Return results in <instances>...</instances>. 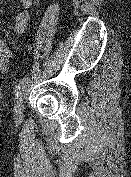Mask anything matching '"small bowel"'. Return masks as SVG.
Segmentation results:
<instances>
[{"label":"small bowel","mask_w":131,"mask_h":177,"mask_svg":"<svg viewBox=\"0 0 131 177\" xmlns=\"http://www.w3.org/2000/svg\"><path fill=\"white\" fill-rule=\"evenodd\" d=\"M21 11L16 15L14 31L17 34H22L27 28V24L30 18L29 9L33 4V0H19Z\"/></svg>","instance_id":"small-bowel-1"}]
</instances>
